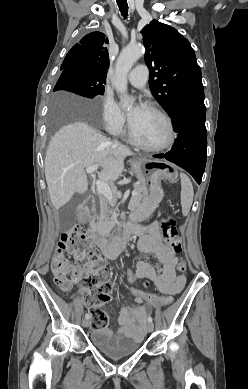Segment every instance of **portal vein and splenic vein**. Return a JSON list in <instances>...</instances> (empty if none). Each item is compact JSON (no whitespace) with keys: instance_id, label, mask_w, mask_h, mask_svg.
<instances>
[{"instance_id":"obj_1","label":"portal vein and splenic vein","mask_w":248,"mask_h":389,"mask_svg":"<svg viewBox=\"0 0 248 389\" xmlns=\"http://www.w3.org/2000/svg\"><path fill=\"white\" fill-rule=\"evenodd\" d=\"M98 168V165L97 164H94V165H91L89 167L86 168V172L88 174H91L93 173L94 171H96ZM96 187H97V191L102 194L104 197H106L109 201H112L113 200V194H112V191L110 189V187L104 183V181L102 180H96ZM137 192L136 191H133L132 192V195H136Z\"/></svg>"}]
</instances>
